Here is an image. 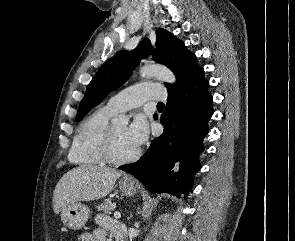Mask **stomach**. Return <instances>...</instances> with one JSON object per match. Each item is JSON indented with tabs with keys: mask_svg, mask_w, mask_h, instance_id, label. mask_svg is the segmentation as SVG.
Listing matches in <instances>:
<instances>
[{
	"mask_svg": "<svg viewBox=\"0 0 295 241\" xmlns=\"http://www.w3.org/2000/svg\"><path fill=\"white\" fill-rule=\"evenodd\" d=\"M119 187L125 195L133 196L136 193V184L134 181L121 180ZM89 215L90 209L81 202L69 204L61 210L62 222L65 226L73 230H79L84 227Z\"/></svg>",
	"mask_w": 295,
	"mask_h": 241,
	"instance_id": "obj_1",
	"label": "stomach"
}]
</instances>
